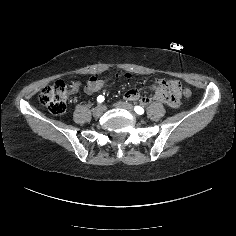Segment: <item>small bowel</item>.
I'll return each mask as SVG.
<instances>
[{"label":"small bowel","mask_w":236,"mask_h":236,"mask_svg":"<svg viewBox=\"0 0 236 236\" xmlns=\"http://www.w3.org/2000/svg\"><path fill=\"white\" fill-rule=\"evenodd\" d=\"M164 81H162L163 83ZM105 87V81L102 79L91 78L85 87V92L87 94H92ZM176 87V86H175ZM177 88V87H176ZM128 99H136L138 97V92L135 89H131L126 93Z\"/></svg>","instance_id":"1"}]
</instances>
